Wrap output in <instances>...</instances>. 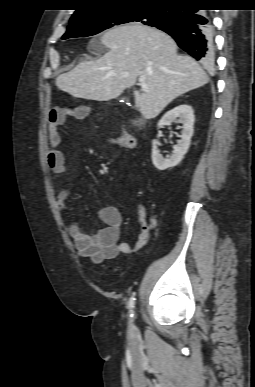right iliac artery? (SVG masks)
Masks as SVG:
<instances>
[{"mask_svg":"<svg viewBox=\"0 0 255 387\" xmlns=\"http://www.w3.org/2000/svg\"><path fill=\"white\" fill-rule=\"evenodd\" d=\"M134 304H135V298L131 297L130 300H129V307H130V309H132L134 307ZM131 316H132V314H131Z\"/></svg>","mask_w":255,"mask_h":387,"instance_id":"obj_1","label":"right iliac artery"}]
</instances>
